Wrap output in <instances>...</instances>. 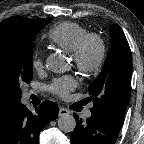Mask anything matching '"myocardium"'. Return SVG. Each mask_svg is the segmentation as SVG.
<instances>
[{"label": "myocardium", "instance_id": "f54148a6", "mask_svg": "<svg viewBox=\"0 0 144 144\" xmlns=\"http://www.w3.org/2000/svg\"><path fill=\"white\" fill-rule=\"evenodd\" d=\"M95 47L93 55L91 47ZM107 55V46L104 38L97 33H88L82 37L72 56L76 68L83 74L90 75L98 72L103 66Z\"/></svg>", "mask_w": 144, "mask_h": 144}]
</instances>
